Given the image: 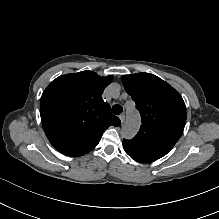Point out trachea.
<instances>
[{"instance_id": "1", "label": "trachea", "mask_w": 219, "mask_h": 219, "mask_svg": "<svg viewBox=\"0 0 219 219\" xmlns=\"http://www.w3.org/2000/svg\"><path fill=\"white\" fill-rule=\"evenodd\" d=\"M122 111H123V107H122L121 105H119V104H116V105H114V106L112 107V112H113V114H115V115L121 114Z\"/></svg>"}]
</instances>
